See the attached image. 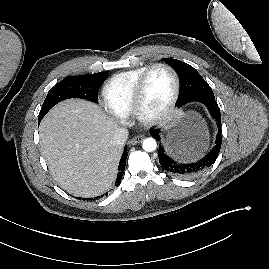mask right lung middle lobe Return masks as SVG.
Listing matches in <instances>:
<instances>
[{"instance_id":"right-lung-middle-lobe-1","label":"right lung middle lobe","mask_w":269,"mask_h":269,"mask_svg":"<svg viewBox=\"0 0 269 269\" xmlns=\"http://www.w3.org/2000/svg\"><path fill=\"white\" fill-rule=\"evenodd\" d=\"M108 75L107 72H100L70 76L63 79L48 92L40 110L38 121L40 122L54 105L68 98H82L97 103L99 87Z\"/></svg>"}]
</instances>
